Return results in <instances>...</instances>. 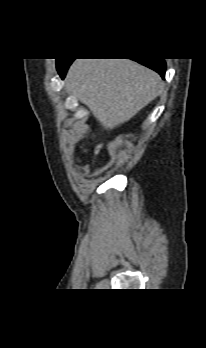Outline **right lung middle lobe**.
<instances>
[{"mask_svg":"<svg viewBox=\"0 0 206 348\" xmlns=\"http://www.w3.org/2000/svg\"><path fill=\"white\" fill-rule=\"evenodd\" d=\"M61 62V60L60 59H57V64H59Z\"/></svg>","mask_w":206,"mask_h":348,"instance_id":"1","label":"right lung middle lobe"}]
</instances>
